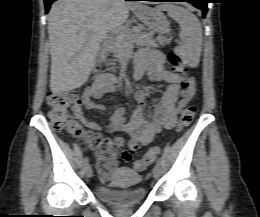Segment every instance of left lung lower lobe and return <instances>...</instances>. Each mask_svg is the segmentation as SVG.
I'll list each match as a JSON object with an SVG mask.
<instances>
[{"instance_id": "1", "label": "left lung lower lobe", "mask_w": 260, "mask_h": 217, "mask_svg": "<svg viewBox=\"0 0 260 217\" xmlns=\"http://www.w3.org/2000/svg\"><path fill=\"white\" fill-rule=\"evenodd\" d=\"M144 1H155V2H175V1H183L192 3L195 7L201 9L203 11V17H205L207 12V4L208 0H144Z\"/></svg>"}]
</instances>
